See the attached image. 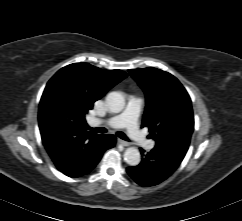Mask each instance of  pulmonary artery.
<instances>
[{
	"label": "pulmonary artery",
	"mask_w": 242,
	"mask_h": 221,
	"mask_svg": "<svg viewBox=\"0 0 242 221\" xmlns=\"http://www.w3.org/2000/svg\"><path fill=\"white\" fill-rule=\"evenodd\" d=\"M143 107V100L139 98H131L125 110L115 116L97 120V123H103L112 128H123L127 129L128 135L142 147L151 149L154 146L152 141L147 140L142 134L138 126V120Z\"/></svg>",
	"instance_id": "obj_1"
}]
</instances>
